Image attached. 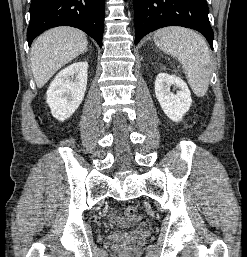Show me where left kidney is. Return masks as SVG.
<instances>
[{
	"instance_id": "left-kidney-1",
	"label": "left kidney",
	"mask_w": 247,
	"mask_h": 257,
	"mask_svg": "<svg viewBox=\"0 0 247 257\" xmlns=\"http://www.w3.org/2000/svg\"><path fill=\"white\" fill-rule=\"evenodd\" d=\"M171 86L176 93L171 92ZM155 95L166 116L174 122L182 120L192 99L187 84L175 75L159 73L155 80Z\"/></svg>"
}]
</instances>
